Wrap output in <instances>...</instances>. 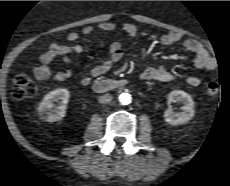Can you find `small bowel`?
Returning a JSON list of instances; mask_svg holds the SVG:
<instances>
[{
    "label": "small bowel",
    "mask_w": 230,
    "mask_h": 186,
    "mask_svg": "<svg viewBox=\"0 0 230 186\" xmlns=\"http://www.w3.org/2000/svg\"><path fill=\"white\" fill-rule=\"evenodd\" d=\"M117 26L111 22L101 23L97 26H86L80 32H70L67 36V40L71 43L77 41L81 35H87L93 32L95 29H99L105 32L114 31ZM123 30L130 38H135L138 34V29L134 24L127 23L123 26ZM182 39V35L178 32H168L160 37L161 45H172L179 42ZM183 52L193 53L195 58L193 64L196 68L206 71H213L217 68L216 59L211 56L208 49L203 46L200 42L194 39L183 40ZM70 51L77 53H83L84 48L80 45L64 46L59 42H53L47 50H45L41 56V65L33 68L34 76L39 80H46L50 77V64L59 56L66 55ZM123 57V49L120 43H113L109 49L108 58L101 64L97 65L91 70L90 75L83 76L80 78V82L83 85H88L92 78L98 77L107 73L116 63H118ZM74 75L72 69L59 71L55 73L52 78L55 81H64L71 78ZM141 78L148 81H159V82H174L177 76L169 71L162 65L149 67L141 73ZM188 85L197 87L201 83V79L197 76H189L186 79Z\"/></svg>",
    "instance_id": "small-bowel-1"
}]
</instances>
